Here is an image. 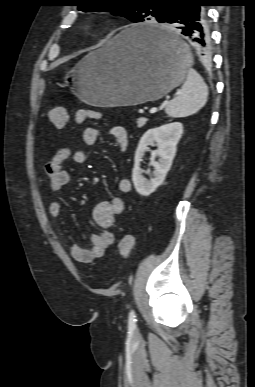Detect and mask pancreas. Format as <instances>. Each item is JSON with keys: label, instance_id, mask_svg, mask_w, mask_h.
I'll list each match as a JSON object with an SVG mask.
<instances>
[{"label": "pancreas", "instance_id": "1", "mask_svg": "<svg viewBox=\"0 0 255 387\" xmlns=\"http://www.w3.org/2000/svg\"><path fill=\"white\" fill-rule=\"evenodd\" d=\"M139 119H140V118H139ZM139 119H138V120H139ZM146 122H147V119H146V118H142V123H141V124H139L138 121H137V127H138V128L143 127V126L146 124Z\"/></svg>", "mask_w": 255, "mask_h": 387}]
</instances>
